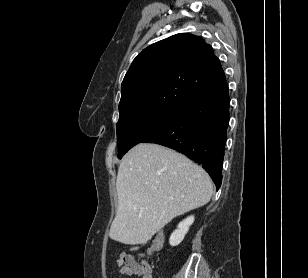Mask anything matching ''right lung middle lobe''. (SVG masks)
<instances>
[{
    "label": "right lung middle lobe",
    "mask_w": 308,
    "mask_h": 278,
    "mask_svg": "<svg viewBox=\"0 0 308 278\" xmlns=\"http://www.w3.org/2000/svg\"><path fill=\"white\" fill-rule=\"evenodd\" d=\"M178 113V109L156 108L134 113L122 120L116 126L118 141V158L134 145L167 125Z\"/></svg>",
    "instance_id": "obj_1"
}]
</instances>
